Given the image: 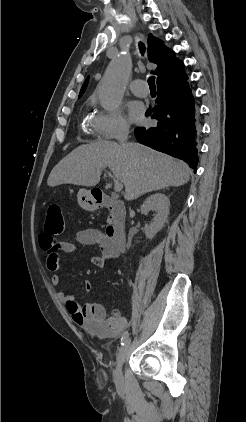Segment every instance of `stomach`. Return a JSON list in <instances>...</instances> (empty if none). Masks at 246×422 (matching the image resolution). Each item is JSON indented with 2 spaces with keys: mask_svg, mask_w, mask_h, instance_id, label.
Masks as SVG:
<instances>
[{
  "mask_svg": "<svg viewBox=\"0 0 246 422\" xmlns=\"http://www.w3.org/2000/svg\"><path fill=\"white\" fill-rule=\"evenodd\" d=\"M78 204L87 211H93L97 208V201L91 193V190L80 189L77 194Z\"/></svg>",
  "mask_w": 246,
  "mask_h": 422,
  "instance_id": "0dacf381",
  "label": "stomach"
}]
</instances>
